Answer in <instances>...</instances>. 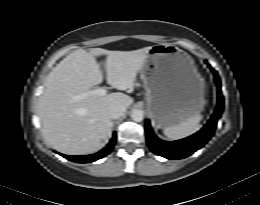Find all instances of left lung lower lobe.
Listing matches in <instances>:
<instances>
[{
	"instance_id": "obj_1",
	"label": "left lung lower lobe",
	"mask_w": 260,
	"mask_h": 205,
	"mask_svg": "<svg viewBox=\"0 0 260 205\" xmlns=\"http://www.w3.org/2000/svg\"><path fill=\"white\" fill-rule=\"evenodd\" d=\"M211 71L213 72L215 77L218 94L217 108L211 119L204 126V128H202L194 135L172 142L163 141L157 138V136L152 131L150 122L147 120L145 126L147 143L153 153L167 159H182L193 154L196 150L204 146V144L207 143V141L214 134L217 121L223 111L224 98L221 93V81L218 73L213 68H211Z\"/></svg>"
}]
</instances>
